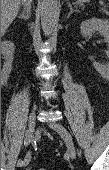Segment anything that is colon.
Returning a JSON list of instances; mask_svg holds the SVG:
<instances>
[{
	"instance_id": "5ec220e1",
	"label": "colon",
	"mask_w": 109,
	"mask_h": 170,
	"mask_svg": "<svg viewBox=\"0 0 109 170\" xmlns=\"http://www.w3.org/2000/svg\"><path fill=\"white\" fill-rule=\"evenodd\" d=\"M37 170H46V169H43V168H39V169H37Z\"/></svg>"
}]
</instances>
